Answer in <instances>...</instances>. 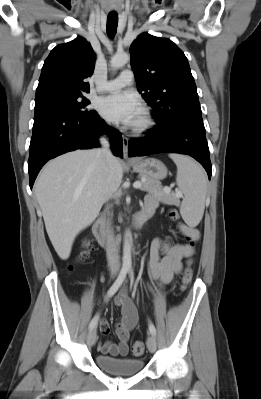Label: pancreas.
Instances as JSON below:
<instances>
[{"mask_svg":"<svg viewBox=\"0 0 261 399\" xmlns=\"http://www.w3.org/2000/svg\"><path fill=\"white\" fill-rule=\"evenodd\" d=\"M141 178H144L145 181H142V190L147 191L151 194H154L157 196L161 201L164 203H170L173 202L176 199V196L174 194L167 193L161 185V182L158 180H154L152 178L146 177V176H141Z\"/></svg>","mask_w":261,"mask_h":399,"instance_id":"cf45deb5","label":"pancreas"}]
</instances>
